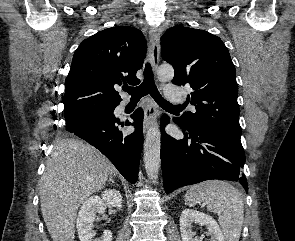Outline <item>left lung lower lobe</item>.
Listing matches in <instances>:
<instances>
[{
  "label": "left lung lower lobe",
  "instance_id": "0a47b994",
  "mask_svg": "<svg viewBox=\"0 0 295 241\" xmlns=\"http://www.w3.org/2000/svg\"><path fill=\"white\" fill-rule=\"evenodd\" d=\"M182 129L184 138L176 140L164 132L170 117L161 119V165L166 194L173 190L210 179L238 181L248 191L242 168L245 154L238 137L204 127Z\"/></svg>",
  "mask_w": 295,
  "mask_h": 241
}]
</instances>
